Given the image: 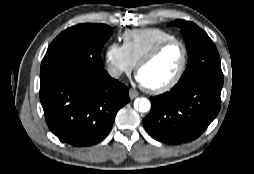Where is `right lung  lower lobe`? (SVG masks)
<instances>
[{
	"mask_svg": "<svg viewBox=\"0 0 254 174\" xmlns=\"http://www.w3.org/2000/svg\"><path fill=\"white\" fill-rule=\"evenodd\" d=\"M129 89L104 70L40 88L49 129L72 146H91L110 132L118 110L130 102Z\"/></svg>",
	"mask_w": 254,
	"mask_h": 174,
	"instance_id": "obj_1",
	"label": "right lung lower lobe"
}]
</instances>
